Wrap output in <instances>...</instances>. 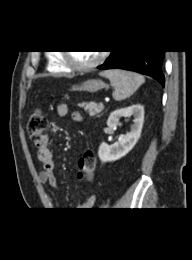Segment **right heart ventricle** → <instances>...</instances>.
Instances as JSON below:
<instances>
[{"mask_svg":"<svg viewBox=\"0 0 192 260\" xmlns=\"http://www.w3.org/2000/svg\"><path fill=\"white\" fill-rule=\"evenodd\" d=\"M48 70L53 73L70 72V69L63 63L60 53H50L49 54Z\"/></svg>","mask_w":192,"mask_h":260,"instance_id":"right-heart-ventricle-1","label":"right heart ventricle"}]
</instances>
